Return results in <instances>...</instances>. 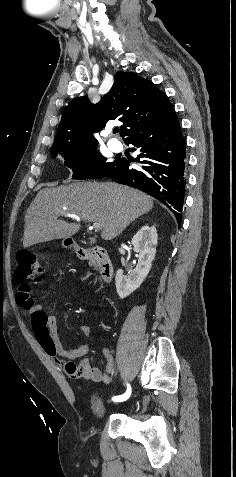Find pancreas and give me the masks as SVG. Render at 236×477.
Listing matches in <instances>:
<instances>
[{"mask_svg":"<svg viewBox=\"0 0 236 477\" xmlns=\"http://www.w3.org/2000/svg\"><path fill=\"white\" fill-rule=\"evenodd\" d=\"M90 264H91L92 266H94L95 268L98 267V263H97V261H95V260L91 261Z\"/></svg>","mask_w":236,"mask_h":477,"instance_id":"1","label":"pancreas"}]
</instances>
